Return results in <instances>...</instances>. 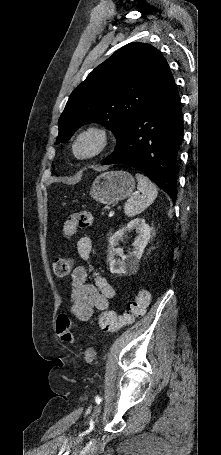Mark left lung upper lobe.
<instances>
[{"label":"left lung upper lobe","instance_id":"obj_1","mask_svg":"<svg viewBox=\"0 0 221 455\" xmlns=\"http://www.w3.org/2000/svg\"><path fill=\"white\" fill-rule=\"evenodd\" d=\"M171 77L166 59L153 46L130 43L122 47L72 92L58 122L56 143L66 142L90 122L106 126L119 143Z\"/></svg>","mask_w":221,"mask_h":455}]
</instances>
